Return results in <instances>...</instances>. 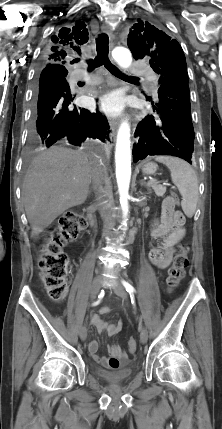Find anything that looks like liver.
Wrapping results in <instances>:
<instances>
[{
  "instance_id": "6515ba94",
  "label": "liver",
  "mask_w": 222,
  "mask_h": 429,
  "mask_svg": "<svg viewBox=\"0 0 222 429\" xmlns=\"http://www.w3.org/2000/svg\"><path fill=\"white\" fill-rule=\"evenodd\" d=\"M98 162L94 153L63 147H52L33 159L24 177L22 199L35 235L69 208L85 202Z\"/></svg>"
}]
</instances>
